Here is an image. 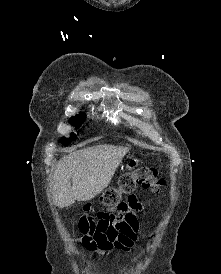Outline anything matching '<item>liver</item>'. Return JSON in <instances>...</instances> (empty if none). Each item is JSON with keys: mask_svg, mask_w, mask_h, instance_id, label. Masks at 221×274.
I'll list each match as a JSON object with an SVG mask.
<instances>
[{"mask_svg": "<svg viewBox=\"0 0 221 274\" xmlns=\"http://www.w3.org/2000/svg\"><path fill=\"white\" fill-rule=\"evenodd\" d=\"M128 152L127 147L98 145L71 152L61 158L52 176L54 204L65 208L75 201L95 198L110 184Z\"/></svg>", "mask_w": 221, "mask_h": 274, "instance_id": "obj_1", "label": "liver"}]
</instances>
